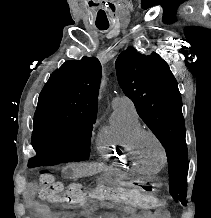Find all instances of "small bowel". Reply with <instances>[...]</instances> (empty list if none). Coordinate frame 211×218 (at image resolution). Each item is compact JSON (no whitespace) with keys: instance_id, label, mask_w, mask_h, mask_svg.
Returning <instances> with one entry per match:
<instances>
[{"instance_id":"obj_1","label":"small bowel","mask_w":211,"mask_h":218,"mask_svg":"<svg viewBox=\"0 0 211 218\" xmlns=\"http://www.w3.org/2000/svg\"><path fill=\"white\" fill-rule=\"evenodd\" d=\"M39 196V190L36 186H30L26 189L25 193H24V197L26 199V202L28 203L29 206L33 207L34 209L38 210V211H46L47 210V206H45L44 204H41L38 200L37 197ZM98 205L101 206H106V207H116L117 204H114L112 202H93L90 203L91 207H96ZM121 209H126L123 206H120ZM128 211H130L129 209H126Z\"/></svg>"}]
</instances>
